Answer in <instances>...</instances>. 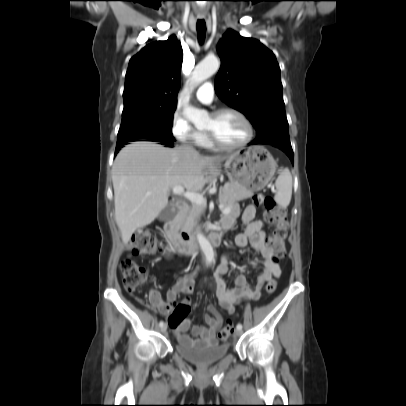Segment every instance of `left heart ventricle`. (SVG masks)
Returning <instances> with one entry per match:
<instances>
[{
    "label": "left heart ventricle",
    "instance_id": "b2bd125f",
    "mask_svg": "<svg viewBox=\"0 0 406 406\" xmlns=\"http://www.w3.org/2000/svg\"><path fill=\"white\" fill-rule=\"evenodd\" d=\"M204 129L215 133L225 144H237L247 134L245 124L233 113H224L218 117L210 116Z\"/></svg>",
    "mask_w": 406,
    "mask_h": 406
}]
</instances>
